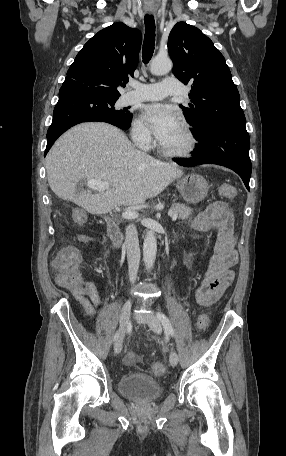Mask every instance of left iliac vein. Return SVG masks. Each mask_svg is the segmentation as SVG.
<instances>
[{"label": "left iliac vein", "mask_w": 286, "mask_h": 456, "mask_svg": "<svg viewBox=\"0 0 286 456\" xmlns=\"http://www.w3.org/2000/svg\"><path fill=\"white\" fill-rule=\"evenodd\" d=\"M149 327L152 331H154L155 333L157 334H160L162 332V326H161V323L160 321L155 318V317H152L151 321L149 322ZM169 361H170V364L172 366H176L178 364V361H179V357H178V354L175 350H173L170 354V357H169Z\"/></svg>", "instance_id": "1"}]
</instances>
